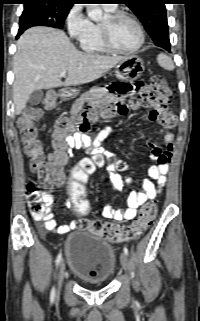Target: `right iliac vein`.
I'll return each instance as SVG.
<instances>
[{
    "mask_svg": "<svg viewBox=\"0 0 200 321\" xmlns=\"http://www.w3.org/2000/svg\"><path fill=\"white\" fill-rule=\"evenodd\" d=\"M64 274H65V263H64V260H62V261L60 262L59 270H58V275H57V278H58V287H57V291H56V296L59 295L60 288H61V285H62V282H63V279H64Z\"/></svg>",
    "mask_w": 200,
    "mask_h": 321,
    "instance_id": "obj_1",
    "label": "right iliac vein"
}]
</instances>
